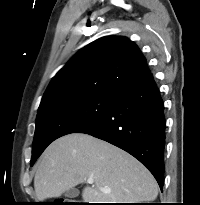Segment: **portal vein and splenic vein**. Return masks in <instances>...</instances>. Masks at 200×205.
Returning a JSON list of instances; mask_svg holds the SVG:
<instances>
[{
  "mask_svg": "<svg viewBox=\"0 0 200 205\" xmlns=\"http://www.w3.org/2000/svg\"><path fill=\"white\" fill-rule=\"evenodd\" d=\"M93 179H87V183L88 184H93ZM101 190H103V191H108L109 189H107V188H101Z\"/></svg>",
  "mask_w": 200,
  "mask_h": 205,
  "instance_id": "obj_1",
  "label": "portal vein and splenic vein"
}]
</instances>
